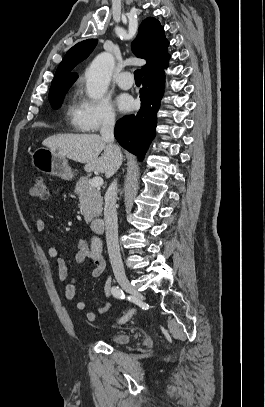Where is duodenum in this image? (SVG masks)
Instances as JSON below:
<instances>
[{
  "label": "duodenum",
  "instance_id": "duodenum-1",
  "mask_svg": "<svg viewBox=\"0 0 265 407\" xmlns=\"http://www.w3.org/2000/svg\"><path fill=\"white\" fill-rule=\"evenodd\" d=\"M104 221L99 218L92 219L90 222V229L94 233L101 234L104 232Z\"/></svg>",
  "mask_w": 265,
  "mask_h": 407
}]
</instances>
